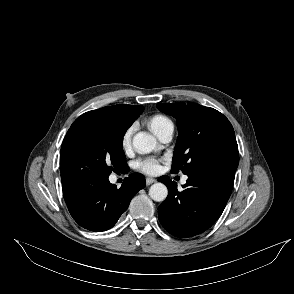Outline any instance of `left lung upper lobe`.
I'll list each match as a JSON object with an SVG mask.
<instances>
[{
    "instance_id": "1",
    "label": "left lung upper lobe",
    "mask_w": 294,
    "mask_h": 294,
    "mask_svg": "<svg viewBox=\"0 0 294 294\" xmlns=\"http://www.w3.org/2000/svg\"><path fill=\"white\" fill-rule=\"evenodd\" d=\"M157 108L177 120L178 138L172 173H199L220 156L238 152L231 123L219 111L197 103L157 104Z\"/></svg>"
}]
</instances>
